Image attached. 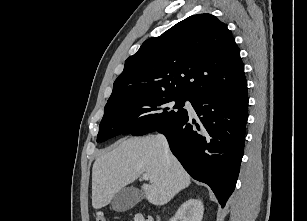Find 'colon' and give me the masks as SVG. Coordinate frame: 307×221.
<instances>
[{"instance_id": "obj_1", "label": "colon", "mask_w": 307, "mask_h": 221, "mask_svg": "<svg viewBox=\"0 0 307 221\" xmlns=\"http://www.w3.org/2000/svg\"><path fill=\"white\" fill-rule=\"evenodd\" d=\"M95 221H108V218L102 212H97L95 214ZM131 221H151V219L142 215H136Z\"/></svg>"}]
</instances>
